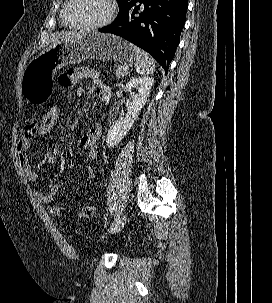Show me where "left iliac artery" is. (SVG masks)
Segmentation results:
<instances>
[{
  "label": "left iliac artery",
  "mask_w": 272,
  "mask_h": 303,
  "mask_svg": "<svg viewBox=\"0 0 272 303\" xmlns=\"http://www.w3.org/2000/svg\"><path fill=\"white\" fill-rule=\"evenodd\" d=\"M117 222H119V214H118V213H115V214H114V219L111 220V222H110V223H111V226H110L109 229H110V230L113 229L114 225H116Z\"/></svg>",
  "instance_id": "1"
}]
</instances>
